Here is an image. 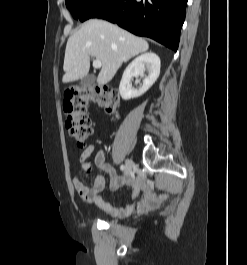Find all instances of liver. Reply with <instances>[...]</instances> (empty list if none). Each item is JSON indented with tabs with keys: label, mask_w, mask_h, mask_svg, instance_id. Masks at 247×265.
<instances>
[{
	"label": "liver",
	"mask_w": 247,
	"mask_h": 265,
	"mask_svg": "<svg viewBox=\"0 0 247 265\" xmlns=\"http://www.w3.org/2000/svg\"><path fill=\"white\" fill-rule=\"evenodd\" d=\"M148 48L146 40L107 21L91 19L67 41L62 82L69 83L85 77L90 68V56H93L102 64L97 82L105 85L124 62Z\"/></svg>",
	"instance_id": "liver-1"
}]
</instances>
